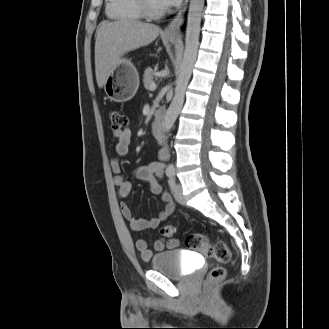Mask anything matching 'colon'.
<instances>
[{"label": "colon", "mask_w": 329, "mask_h": 329, "mask_svg": "<svg viewBox=\"0 0 329 329\" xmlns=\"http://www.w3.org/2000/svg\"><path fill=\"white\" fill-rule=\"evenodd\" d=\"M111 128L114 134L119 135L125 130L128 119L119 112L112 111L110 113ZM177 229L174 225H165L161 228L162 236L171 238L176 235ZM186 246L190 249L197 250L203 255L214 257L219 263L226 264L231 259V252L223 241L211 243L209 238L202 233H189L185 240ZM226 276V269L222 265L214 267L208 274V282L215 283L222 281Z\"/></svg>", "instance_id": "obj_1"}]
</instances>
